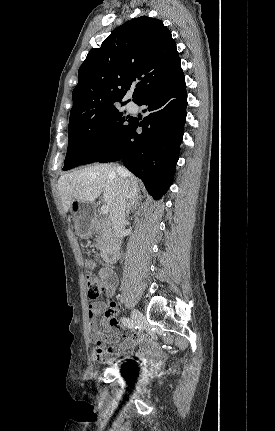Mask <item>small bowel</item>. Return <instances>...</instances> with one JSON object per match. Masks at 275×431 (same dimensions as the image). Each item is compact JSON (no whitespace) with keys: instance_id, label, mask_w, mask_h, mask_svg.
Segmentation results:
<instances>
[{"instance_id":"obj_1","label":"small bowel","mask_w":275,"mask_h":431,"mask_svg":"<svg viewBox=\"0 0 275 431\" xmlns=\"http://www.w3.org/2000/svg\"><path fill=\"white\" fill-rule=\"evenodd\" d=\"M100 277L104 281L106 295L111 297L118 284L116 275L111 271L102 270ZM103 310V303H95L89 307L90 340L94 344L92 352L94 360L110 362L135 349H138L135 352L136 357L143 361L150 357L157 359L160 357L157 344L146 336L123 331L115 319L116 309L113 306L105 312L102 319H99Z\"/></svg>"}]
</instances>
